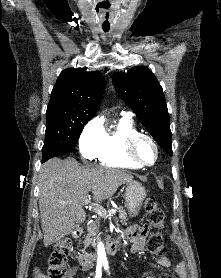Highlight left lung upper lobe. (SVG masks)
I'll return each mask as SVG.
<instances>
[{
	"label": "left lung upper lobe",
	"instance_id": "obj_1",
	"mask_svg": "<svg viewBox=\"0 0 221 278\" xmlns=\"http://www.w3.org/2000/svg\"><path fill=\"white\" fill-rule=\"evenodd\" d=\"M119 96L136 113L156 142L172 156L170 119L162 87L148 67L112 75Z\"/></svg>",
	"mask_w": 221,
	"mask_h": 278
}]
</instances>
